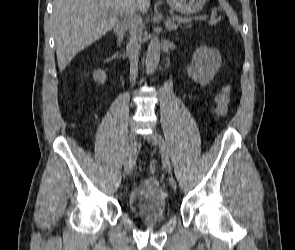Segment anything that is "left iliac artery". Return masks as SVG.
Wrapping results in <instances>:
<instances>
[{
    "mask_svg": "<svg viewBox=\"0 0 295 250\" xmlns=\"http://www.w3.org/2000/svg\"><path fill=\"white\" fill-rule=\"evenodd\" d=\"M157 138H158V144H159L160 152L162 154L164 166L168 169L169 173H171L172 171L171 163L168 159H166V155H167L166 143L160 134H157Z\"/></svg>",
    "mask_w": 295,
    "mask_h": 250,
    "instance_id": "44dca946",
    "label": "left iliac artery"
}]
</instances>
